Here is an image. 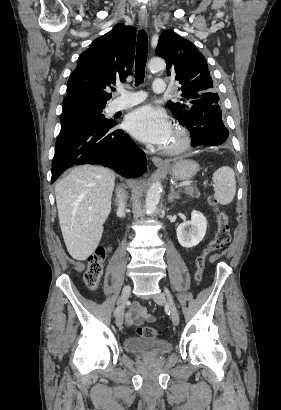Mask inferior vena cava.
Returning <instances> with one entry per match:
<instances>
[{"label":"inferior vena cava","mask_w":281,"mask_h":410,"mask_svg":"<svg viewBox=\"0 0 281 410\" xmlns=\"http://www.w3.org/2000/svg\"><path fill=\"white\" fill-rule=\"evenodd\" d=\"M117 198L118 212L124 214V209L126 206V195L122 190H120L117 193Z\"/></svg>","instance_id":"1"}]
</instances>
